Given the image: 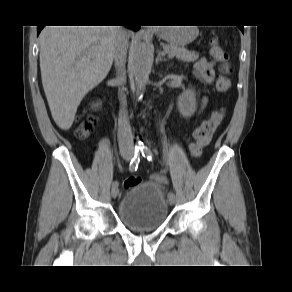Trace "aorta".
I'll return each instance as SVG.
<instances>
[{"instance_id": "aorta-1", "label": "aorta", "mask_w": 292, "mask_h": 292, "mask_svg": "<svg viewBox=\"0 0 292 292\" xmlns=\"http://www.w3.org/2000/svg\"><path fill=\"white\" fill-rule=\"evenodd\" d=\"M151 55L149 35L141 29L136 35L131 53L133 74L139 93L144 91L149 81Z\"/></svg>"}]
</instances>
